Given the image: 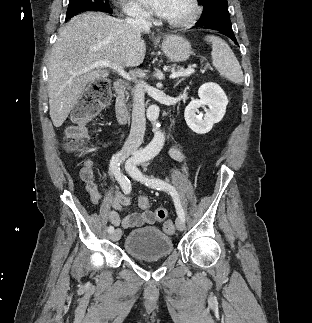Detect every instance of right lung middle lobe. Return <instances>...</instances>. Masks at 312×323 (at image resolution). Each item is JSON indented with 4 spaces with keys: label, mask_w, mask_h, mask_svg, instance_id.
Listing matches in <instances>:
<instances>
[{
    "label": "right lung middle lobe",
    "mask_w": 312,
    "mask_h": 323,
    "mask_svg": "<svg viewBox=\"0 0 312 323\" xmlns=\"http://www.w3.org/2000/svg\"><path fill=\"white\" fill-rule=\"evenodd\" d=\"M108 1L109 0H69L66 19H70L83 11L98 10L108 12L110 10Z\"/></svg>",
    "instance_id": "dd1d6c3e"
}]
</instances>
